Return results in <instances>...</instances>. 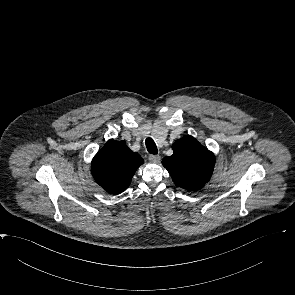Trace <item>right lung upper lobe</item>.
<instances>
[{"mask_svg":"<svg viewBox=\"0 0 295 295\" xmlns=\"http://www.w3.org/2000/svg\"><path fill=\"white\" fill-rule=\"evenodd\" d=\"M144 163L125 142L107 141L92 160V175L107 192L119 194L130 185L135 171Z\"/></svg>","mask_w":295,"mask_h":295,"instance_id":"1","label":"right lung upper lobe"}]
</instances>
